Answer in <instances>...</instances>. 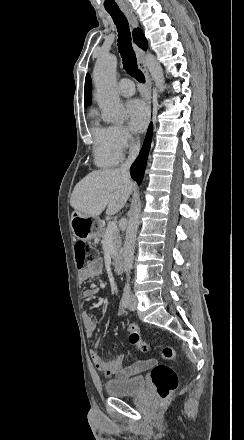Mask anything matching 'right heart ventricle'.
Returning <instances> with one entry per match:
<instances>
[{
	"label": "right heart ventricle",
	"instance_id": "obj_1",
	"mask_svg": "<svg viewBox=\"0 0 244 440\" xmlns=\"http://www.w3.org/2000/svg\"><path fill=\"white\" fill-rule=\"evenodd\" d=\"M89 118L91 123V136L96 141V148L94 153L95 163L102 168H110L118 165L123 155L120 151H106L104 148H100L99 145L105 144L108 138V128L105 127L98 118V112L95 108H91L89 112Z\"/></svg>",
	"mask_w": 244,
	"mask_h": 440
}]
</instances>
